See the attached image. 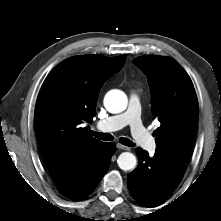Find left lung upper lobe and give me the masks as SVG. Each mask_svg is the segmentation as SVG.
Returning <instances> with one entry per match:
<instances>
[{
	"mask_svg": "<svg viewBox=\"0 0 221 221\" xmlns=\"http://www.w3.org/2000/svg\"><path fill=\"white\" fill-rule=\"evenodd\" d=\"M133 62L147 75L152 114L161 124L153 133L156 151L186 163L199 115L190 77L170 57L143 55Z\"/></svg>",
	"mask_w": 221,
	"mask_h": 221,
	"instance_id": "obj_1",
	"label": "left lung upper lobe"
}]
</instances>
